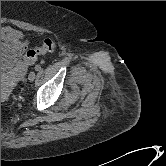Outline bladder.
Instances as JSON below:
<instances>
[{
  "mask_svg": "<svg viewBox=\"0 0 166 166\" xmlns=\"http://www.w3.org/2000/svg\"><path fill=\"white\" fill-rule=\"evenodd\" d=\"M19 63L18 53L14 47L1 41V75L12 74Z\"/></svg>",
  "mask_w": 166,
  "mask_h": 166,
  "instance_id": "31cf9c89",
  "label": "bladder"
}]
</instances>
